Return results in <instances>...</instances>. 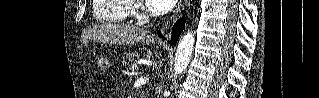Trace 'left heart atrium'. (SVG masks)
I'll list each match as a JSON object with an SVG mask.
<instances>
[{"label":"left heart atrium","instance_id":"39dd6f15","mask_svg":"<svg viewBox=\"0 0 319 98\" xmlns=\"http://www.w3.org/2000/svg\"><path fill=\"white\" fill-rule=\"evenodd\" d=\"M175 0H147L148 7L155 14H164L171 10Z\"/></svg>","mask_w":319,"mask_h":98}]
</instances>
